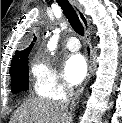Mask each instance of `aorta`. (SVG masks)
<instances>
[{"instance_id":"aorta-1","label":"aorta","mask_w":122,"mask_h":123,"mask_svg":"<svg viewBox=\"0 0 122 123\" xmlns=\"http://www.w3.org/2000/svg\"><path fill=\"white\" fill-rule=\"evenodd\" d=\"M59 35L58 33L56 35L53 36V38L51 39V41L48 44V48L50 51L55 50L56 46H57V41H58ZM53 54V52H52Z\"/></svg>"}]
</instances>
